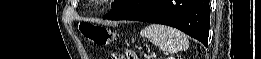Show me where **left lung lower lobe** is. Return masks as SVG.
<instances>
[{
  "mask_svg": "<svg viewBox=\"0 0 261 59\" xmlns=\"http://www.w3.org/2000/svg\"><path fill=\"white\" fill-rule=\"evenodd\" d=\"M109 20H137L175 27L207 45L209 0H124L107 15Z\"/></svg>",
  "mask_w": 261,
  "mask_h": 59,
  "instance_id": "1",
  "label": "left lung lower lobe"
}]
</instances>
